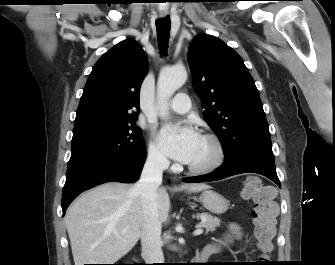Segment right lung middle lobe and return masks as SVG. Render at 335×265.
Here are the masks:
<instances>
[{
    "instance_id": "right-lung-middle-lobe-1",
    "label": "right lung middle lobe",
    "mask_w": 335,
    "mask_h": 265,
    "mask_svg": "<svg viewBox=\"0 0 335 265\" xmlns=\"http://www.w3.org/2000/svg\"><path fill=\"white\" fill-rule=\"evenodd\" d=\"M144 152L142 131L135 120L84 125L73 129L68 166L93 158L130 159Z\"/></svg>"
}]
</instances>
